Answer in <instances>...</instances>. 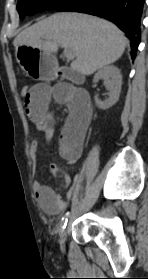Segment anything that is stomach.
<instances>
[{
  "label": "stomach",
  "instance_id": "0dacf381",
  "mask_svg": "<svg viewBox=\"0 0 148 279\" xmlns=\"http://www.w3.org/2000/svg\"><path fill=\"white\" fill-rule=\"evenodd\" d=\"M26 47L28 50H21ZM15 59L21 66V75L30 78V82H58L57 61L42 50L20 46L15 50Z\"/></svg>",
  "mask_w": 148,
  "mask_h": 279
}]
</instances>
